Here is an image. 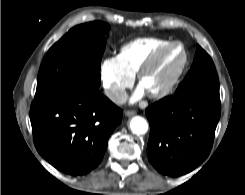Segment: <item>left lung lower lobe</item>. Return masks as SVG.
Here are the masks:
<instances>
[{"instance_id":"0a47b994","label":"left lung lower lobe","mask_w":245,"mask_h":195,"mask_svg":"<svg viewBox=\"0 0 245 195\" xmlns=\"http://www.w3.org/2000/svg\"><path fill=\"white\" fill-rule=\"evenodd\" d=\"M145 113L150 123L148 159L160 173L184 175L208 157L221 114L220 99L171 95Z\"/></svg>"}]
</instances>
